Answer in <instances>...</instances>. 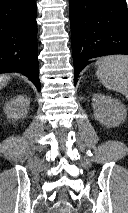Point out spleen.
Wrapping results in <instances>:
<instances>
[{"mask_svg":"<svg viewBox=\"0 0 128 213\" xmlns=\"http://www.w3.org/2000/svg\"><path fill=\"white\" fill-rule=\"evenodd\" d=\"M96 75L107 89L117 91L128 99V56L114 55L98 61Z\"/></svg>","mask_w":128,"mask_h":213,"instance_id":"1","label":"spleen"}]
</instances>
